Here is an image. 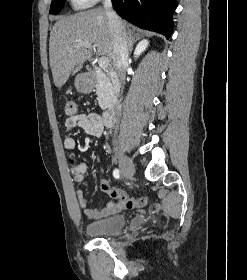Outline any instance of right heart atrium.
<instances>
[{
    "label": "right heart atrium",
    "instance_id": "1",
    "mask_svg": "<svg viewBox=\"0 0 247 280\" xmlns=\"http://www.w3.org/2000/svg\"><path fill=\"white\" fill-rule=\"evenodd\" d=\"M74 3L80 7H87L95 4L99 0H73Z\"/></svg>",
    "mask_w": 247,
    "mask_h": 280
}]
</instances>
